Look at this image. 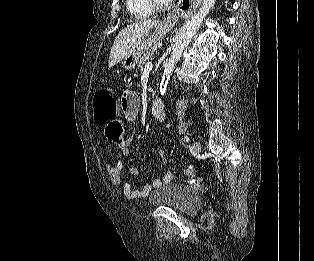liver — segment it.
Masks as SVG:
<instances>
[{
	"label": "liver",
	"mask_w": 314,
	"mask_h": 261,
	"mask_svg": "<svg viewBox=\"0 0 314 261\" xmlns=\"http://www.w3.org/2000/svg\"><path fill=\"white\" fill-rule=\"evenodd\" d=\"M158 20H144L128 25L122 29L114 43L109 56V67H113L138 47L148 32L160 25Z\"/></svg>",
	"instance_id": "obj_1"
}]
</instances>
